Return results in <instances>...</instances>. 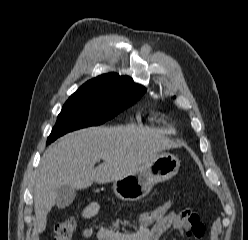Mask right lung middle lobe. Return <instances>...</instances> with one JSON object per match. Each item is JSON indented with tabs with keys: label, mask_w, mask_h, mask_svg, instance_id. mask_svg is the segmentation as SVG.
I'll use <instances>...</instances> for the list:
<instances>
[{
	"label": "right lung middle lobe",
	"mask_w": 248,
	"mask_h": 240,
	"mask_svg": "<svg viewBox=\"0 0 248 240\" xmlns=\"http://www.w3.org/2000/svg\"><path fill=\"white\" fill-rule=\"evenodd\" d=\"M145 91L133 81L112 89L78 90L64 104L47 144L70 131L103 124L139 100Z\"/></svg>",
	"instance_id": "obj_1"
}]
</instances>
